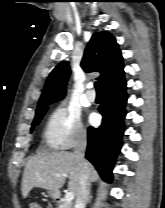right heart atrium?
Returning a JSON list of instances; mask_svg holds the SVG:
<instances>
[{"mask_svg": "<svg viewBox=\"0 0 165 208\" xmlns=\"http://www.w3.org/2000/svg\"><path fill=\"white\" fill-rule=\"evenodd\" d=\"M44 138L50 148L57 150L81 144L86 138V132L80 111L67 103L58 106L48 118Z\"/></svg>", "mask_w": 165, "mask_h": 208, "instance_id": "obj_1", "label": "right heart atrium"}]
</instances>
